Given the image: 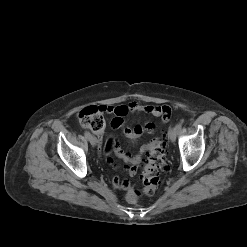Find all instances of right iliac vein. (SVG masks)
<instances>
[{
  "label": "right iliac vein",
  "instance_id": "63e3f726",
  "mask_svg": "<svg viewBox=\"0 0 247 247\" xmlns=\"http://www.w3.org/2000/svg\"><path fill=\"white\" fill-rule=\"evenodd\" d=\"M88 140H89V142H90V144L92 146H96L97 145V139H96L95 136L91 135Z\"/></svg>",
  "mask_w": 247,
  "mask_h": 247
}]
</instances>
